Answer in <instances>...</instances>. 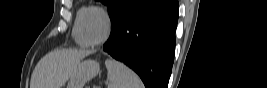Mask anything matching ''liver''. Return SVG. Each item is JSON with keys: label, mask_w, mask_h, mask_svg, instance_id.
Masks as SVG:
<instances>
[{"label": "liver", "mask_w": 267, "mask_h": 88, "mask_svg": "<svg viewBox=\"0 0 267 88\" xmlns=\"http://www.w3.org/2000/svg\"><path fill=\"white\" fill-rule=\"evenodd\" d=\"M91 53L85 50L64 49L46 54L32 73L30 88H61L80 61Z\"/></svg>", "instance_id": "1"}]
</instances>
